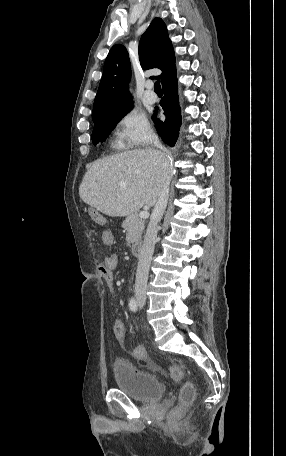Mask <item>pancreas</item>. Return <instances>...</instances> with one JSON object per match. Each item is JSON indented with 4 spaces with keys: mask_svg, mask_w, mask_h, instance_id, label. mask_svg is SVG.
<instances>
[{
    "mask_svg": "<svg viewBox=\"0 0 286 456\" xmlns=\"http://www.w3.org/2000/svg\"><path fill=\"white\" fill-rule=\"evenodd\" d=\"M144 224V220L138 214H131L123 221L122 228L126 230L127 245L137 243L141 240Z\"/></svg>",
    "mask_w": 286,
    "mask_h": 456,
    "instance_id": "obj_1",
    "label": "pancreas"
}]
</instances>
